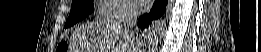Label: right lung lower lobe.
Returning a JSON list of instances; mask_svg holds the SVG:
<instances>
[{
	"instance_id": "98d812e1",
	"label": "right lung lower lobe",
	"mask_w": 261,
	"mask_h": 52,
	"mask_svg": "<svg viewBox=\"0 0 261 52\" xmlns=\"http://www.w3.org/2000/svg\"><path fill=\"white\" fill-rule=\"evenodd\" d=\"M168 0H155L154 6L150 11V14H145L138 20V26L142 29L148 27L151 24V20L158 19L166 8Z\"/></svg>"
}]
</instances>
